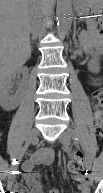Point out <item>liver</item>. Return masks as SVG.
<instances>
[{"instance_id": "1", "label": "liver", "mask_w": 103, "mask_h": 193, "mask_svg": "<svg viewBox=\"0 0 103 193\" xmlns=\"http://www.w3.org/2000/svg\"><path fill=\"white\" fill-rule=\"evenodd\" d=\"M54 0H1L0 71L15 73L31 56L30 20L39 8L51 9Z\"/></svg>"}]
</instances>
